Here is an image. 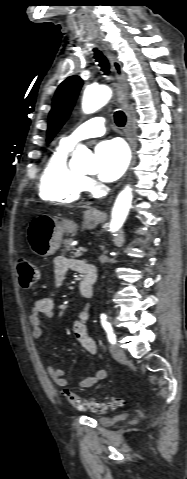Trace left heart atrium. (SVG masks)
<instances>
[{"mask_svg":"<svg viewBox=\"0 0 187 479\" xmlns=\"http://www.w3.org/2000/svg\"><path fill=\"white\" fill-rule=\"evenodd\" d=\"M95 153L100 163L99 179L112 182L118 179L128 164V153L125 145L117 139L100 142Z\"/></svg>","mask_w":187,"mask_h":479,"instance_id":"left-heart-atrium-1","label":"left heart atrium"}]
</instances>
